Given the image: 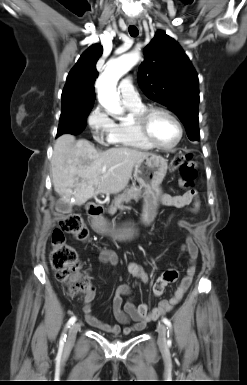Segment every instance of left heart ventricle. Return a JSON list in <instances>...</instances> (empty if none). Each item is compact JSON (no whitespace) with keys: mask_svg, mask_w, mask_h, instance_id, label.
Listing matches in <instances>:
<instances>
[{"mask_svg":"<svg viewBox=\"0 0 247 385\" xmlns=\"http://www.w3.org/2000/svg\"><path fill=\"white\" fill-rule=\"evenodd\" d=\"M150 133L161 145H171L178 137V129L168 116L157 113L150 120Z\"/></svg>","mask_w":247,"mask_h":385,"instance_id":"1","label":"left heart ventricle"}]
</instances>
